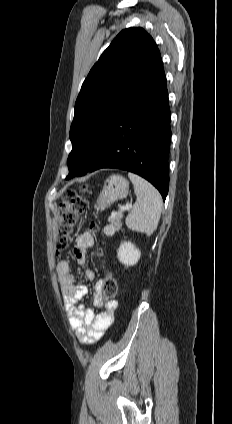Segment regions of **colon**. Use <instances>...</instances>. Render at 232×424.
Listing matches in <instances>:
<instances>
[{"mask_svg": "<svg viewBox=\"0 0 232 424\" xmlns=\"http://www.w3.org/2000/svg\"><path fill=\"white\" fill-rule=\"evenodd\" d=\"M85 189L75 190L67 189L62 198L58 210L57 218V239L56 255L63 253L68 239L71 237L75 226L78 223L80 214L85 211L89 205L88 199L84 195ZM90 231H95V224L91 223ZM102 255V251H99ZM118 283L114 275L108 272L102 282V296L104 298H113L117 295Z\"/></svg>", "mask_w": 232, "mask_h": 424, "instance_id": "1", "label": "colon"}]
</instances>
